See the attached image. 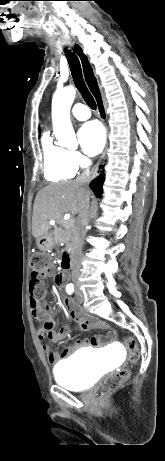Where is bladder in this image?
Instances as JSON below:
<instances>
[{"instance_id": "bladder-1", "label": "bladder", "mask_w": 165, "mask_h": 461, "mask_svg": "<svg viewBox=\"0 0 165 461\" xmlns=\"http://www.w3.org/2000/svg\"><path fill=\"white\" fill-rule=\"evenodd\" d=\"M91 354L80 351L57 363L53 369L55 381L71 390L91 387L106 370V360L91 359Z\"/></svg>"}]
</instances>
